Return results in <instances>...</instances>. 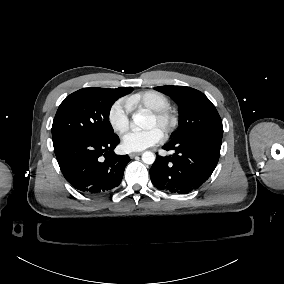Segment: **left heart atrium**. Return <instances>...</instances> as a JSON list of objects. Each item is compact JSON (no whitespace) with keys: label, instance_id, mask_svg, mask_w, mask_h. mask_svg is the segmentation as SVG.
<instances>
[{"label":"left heart atrium","instance_id":"39dd6f15","mask_svg":"<svg viewBox=\"0 0 284 284\" xmlns=\"http://www.w3.org/2000/svg\"><path fill=\"white\" fill-rule=\"evenodd\" d=\"M163 136L158 128L147 130H127L121 138V146L126 151H139L161 142Z\"/></svg>","mask_w":284,"mask_h":284}]
</instances>
